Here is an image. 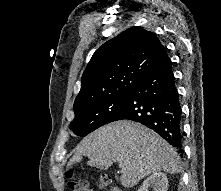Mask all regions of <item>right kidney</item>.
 I'll return each mask as SVG.
<instances>
[{"mask_svg": "<svg viewBox=\"0 0 221 191\" xmlns=\"http://www.w3.org/2000/svg\"><path fill=\"white\" fill-rule=\"evenodd\" d=\"M150 188H152L153 191H167V176L162 172H155L144 180L138 191H148Z\"/></svg>", "mask_w": 221, "mask_h": 191, "instance_id": "ca27d5eb", "label": "right kidney"}]
</instances>
